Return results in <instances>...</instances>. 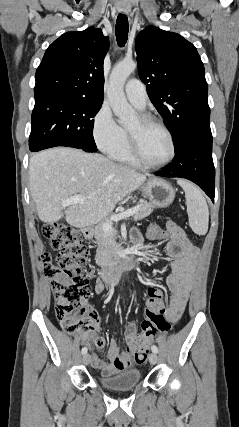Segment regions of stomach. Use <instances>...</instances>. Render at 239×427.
<instances>
[{
	"label": "stomach",
	"mask_w": 239,
	"mask_h": 427,
	"mask_svg": "<svg viewBox=\"0 0 239 427\" xmlns=\"http://www.w3.org/2000/svg\"><path fill=\"white\" fill-rule=\"evenodd\" d=\"M140 189L147 199L159 208L168 207L175 199V190L163 179H149Z\"/></svg>",
	"instance_id": "obj_1"
}]
</instances>
